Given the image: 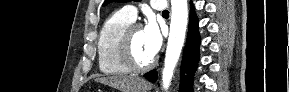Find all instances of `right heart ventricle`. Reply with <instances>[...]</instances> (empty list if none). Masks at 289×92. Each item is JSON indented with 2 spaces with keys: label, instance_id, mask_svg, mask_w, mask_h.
I'll use <instances>...</instances> for the list:
<instances>
[{
  "label": "right heart ventricle",
  "instance_id": "e07e8e85",
  "mask_svg": "<svg viewBox=\"0 0 289 92\" xmlns=\"http://www.w3.org/2000/svg\"><path fill=\"white\" fill-rule=\"evenodd\" d=\"M132 22L121 11L104 21L97 41L98 66L103 74L125 75L131 72L119 57L118 43L123 31Z\"/></svg>",
  "mask_w": 289,
  "mask_h": 92
}]
</instances>
